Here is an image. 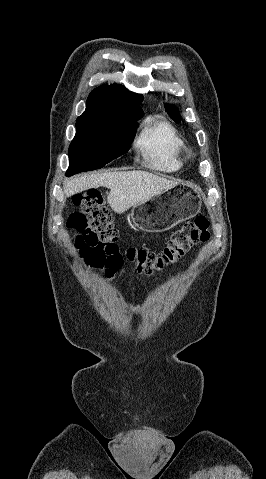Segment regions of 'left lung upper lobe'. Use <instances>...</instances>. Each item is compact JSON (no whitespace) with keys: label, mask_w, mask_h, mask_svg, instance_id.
Returning a JSON list of instances; mask_svg holds the SVG:
<instances>
[{"label":"left lung upper lobe","mask_w":266,"mask_h":479,"mask_svg":"<svg viewBox=\"0 0 266 479\" xmlns=\"http://www.w3.org/2000/svg\"><path fill=\"white\" fill-rule=\"evenodd\" d=\"M165 108H166V111L167 113L170 115V117L176 122V123H179L180 122V117H179V113L178 111L176 110V108L172 105H165Z\"/></svg>","instance_id":"5c2ea615"}]
</instances>
